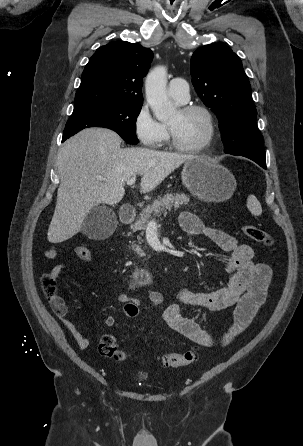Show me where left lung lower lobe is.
<instances>
[{
    "label": "left lung lower lobe",
    "mask_w": 303,
    "mask_h": 446,
    "mask_svg": "<svg viewBox=\"0 0 303 446\" xmlns=\"http://www.w3.org/2000/svg\"><path fill=\"white\" fill-rule=\"evenodd\" d=\"M253 161H255L256 163H258L260 166H262L263 168H266V161L265 160H260L258 158L255 157H247Z\"/></svg>",
    "instance_id": "0a47b994"
}]
</instances>
